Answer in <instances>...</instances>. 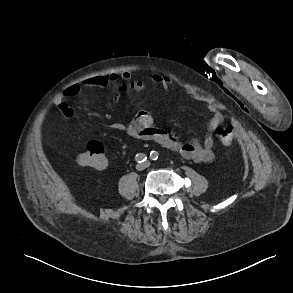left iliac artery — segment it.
I'll use <instances>...</instances> for the list:
<instances>
[{
	"label": "left iliac artery",
	"mask_w": 293,
	"mask_h": 293,
	"mask_svg": "<svg viewBox=\"0 0 293 293\" xmlns=\"http://www.w3.org/2000/svg\"><path fill=\"white\" fill-rule=\"evenodd\" d=\"M158 157H159V153L157 152V151H151V153H150V158L152 159V160H157L158 159Z\"/></svg>",
	"instance_id": "44dca946"
}]
</instances>
